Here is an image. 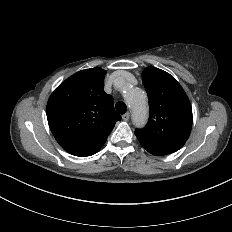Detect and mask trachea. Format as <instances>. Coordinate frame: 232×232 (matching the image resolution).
Listing matches in <instances>:
<instances>
[{
  "label": "trachea",
  "mask_w": 232,
  "mask_h": 232,
  "mask_svg": "<svg viewBox=\"0 0 232 232\" xmlns=\"http://www.w3.org/2000/svg\"><path fill=\"white\" fill-rule=\"evenodd\" d=\"M115 108L119 114H124L127 110L126 104L122 101L117 102Z\"/></svg>",
  "instance_id": "1"
}]
</instances>
